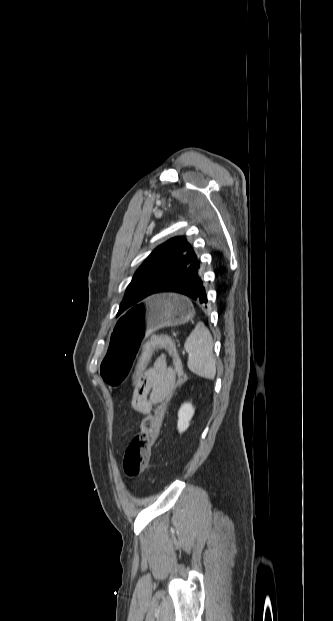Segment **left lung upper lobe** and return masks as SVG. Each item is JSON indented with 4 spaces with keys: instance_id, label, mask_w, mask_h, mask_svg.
Masks as SVG:
<instances>
[{
    "instance_id": "1",
    "label": "left lung upper lobe",
    "mask_w": 333,
    "mask_h": 621,
    "mask_svg": "<svg viewBox=\"0 0 333 621\" xmlns=\"http://www.w3.org/2000/svg\"><path fill=\"white\" fill-rule=\"evenodd\" d=\"M200 265L192 246L184 236L159 245L136 271L120 304L118 314L137 307L146 297L187 269Z\"/></svg>"
}]
</instances>
